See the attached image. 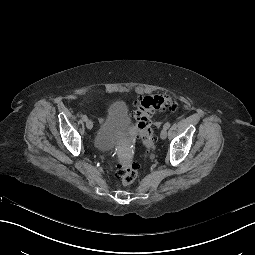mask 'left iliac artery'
Masks as SVG:
<instances>
[{"mask_svg":"<svg viewBox=\"0 0 255 255\" xmlns=\"http://www.w3.org/2000/svg\"><path fill=\"white\" fill-rule=\"evenodd\" d=\"M170 127V122H166L165 124H164V128L165 129H168Z\"/></svg>","mask_w":255,"mask_h":255,"instance_id":"obj_1","label":"left iliac artery"}]
</instances>
